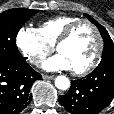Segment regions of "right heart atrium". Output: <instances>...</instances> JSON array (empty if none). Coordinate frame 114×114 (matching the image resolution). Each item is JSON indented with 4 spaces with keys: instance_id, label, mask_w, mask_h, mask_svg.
Wrapping results in <instances>:
<instances>
[{
    "instance_id": "1",
    "label": "right heart atrium",
    "mask_w": 114,
    "mask_h": 114,
    "mask_svg": "<svg viewBox=\"0 0 114 114\" xmlns=\"http://www.w3.org/2000/svg\"><path fill=\"white\" fill-rule=\"evenodd\" d=\"M15 43L23 57L32 65H39L53 51L37 29L22 27L16 34Z\"/></svg>"
}]
</instances>
